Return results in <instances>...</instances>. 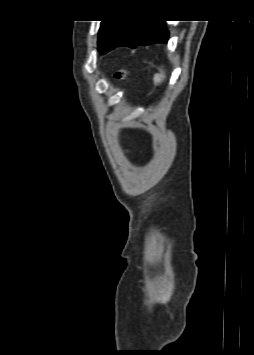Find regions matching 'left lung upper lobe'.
I'll return each instance as SVG.
<instances>
[{
    "instance_id": "5c2ea615",
    "label": "left lung upper lobe",
    "mask_w": 254,
    "mask_h": 355,
    "mask_svg": "<svg viewBox=\"0 0 254 355\" xmlns=\"http://www.w3.org/2000/svg\"><path fill=\"white\" fill-rule=\"evenodd\" d=\"M130 20L101 21L98 35V50L105 54L120 39L125 26Z\"/></svg>"
}]
</instances>
